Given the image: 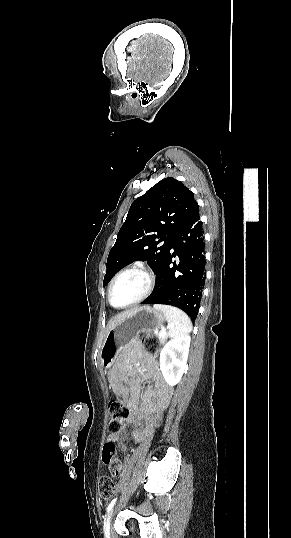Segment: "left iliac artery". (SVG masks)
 <instances>
[{"label": "left iliac artery", "instance_id": "1", "mask_svg": "<svg viewBox=\"0 0 291 538\" xmlns=\"http://www.w3.org/2000/svg\"><path fill=\"white\" fill-rule=\"evenodd\" d=\"M116 500H117V497L114 498V499L110 502V504H109L108 507H107V513L113 508V506H114L115 503H116Z\"/></svg>", "mask_w": 291, "mask_h": 538}]
</instances>
